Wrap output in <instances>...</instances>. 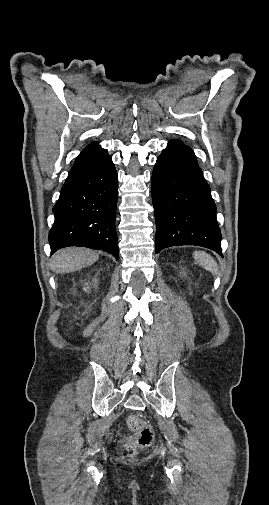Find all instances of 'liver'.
<instances>
[{
  "label": "liver",
  "mask_w": 269,
  "mask_h": 505,
  "mask_svg": "<svg viewBox=\"0 0 269 505\" xmlns=\"http://www.w3.org/2000/svg\"><path fill=\"white\" fill-rule=\"evenodd\" d=\"M99 255L89 249L68 247L56 252L51 259V269L56 273H69L94 264Z\"/></svg>",
  "instance_id": "1"
}]
</instances>
